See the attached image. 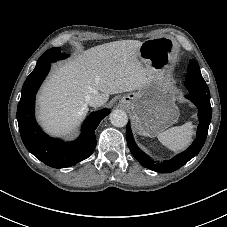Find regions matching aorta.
I'll return each mask as SVG.
<instances>
[{"label": "aorta", "instance_id": "1", "mask_svg": "<svg viewBox=\"0 0 227 227\" xmlns=\"http://www.w3.org/2000/svg\"><path fill=\"white\" fill-rule=\"evenodd\" d=\"M110 121L115 127H124L128 122L127 113L120 109L113 110L110 114Z\"/></svg>", "mask_w": 227, "mask_h": 227}]
</instances>
